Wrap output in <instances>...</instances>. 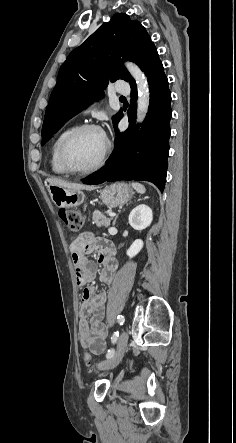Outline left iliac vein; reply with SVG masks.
I'll return each mask as SVG.
<instances>
[{"label":"left iliac vein","instance_id":"obj_1","mask_svg":"<svg viewBox=\"0 0 236 443\" xmlns=\"http://www.w3.org/2000/svg\"><path fill=\"white\" fill-rule=\"evenodd\" d=\"M128 342V334L122 332L118 338L117 348L114 356L106 361H102L98 364V368L101 370L112 369L116 367L124 356Z\"/></svg>","mask_w":236,"mask_h":443}]
</instances>
